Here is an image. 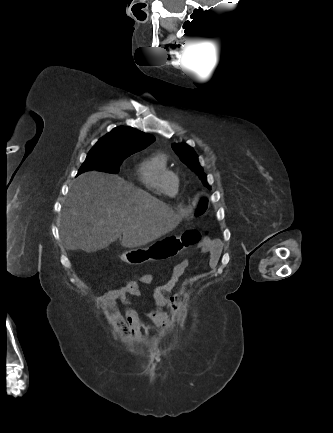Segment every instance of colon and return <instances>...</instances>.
<instances>
[{
    "label": "colon",
    "instance_id": "colon-1",
    "mask_svg": "<svg viewBox=\"0 0 333 433\" xmlns=\"http://www.w3.org/2000/svg\"><path fill=\"white\" fill-rule=\"evenodd\" d=\"M201 239L197 230H187L182 236H160L153 244H147L146 249H124L121 263L127 265H151L159 263V258H175L179 248L196 245Z\"/></svg>",
    "mask_w": 333,
    "mask_h": 433
}]
</instances>
